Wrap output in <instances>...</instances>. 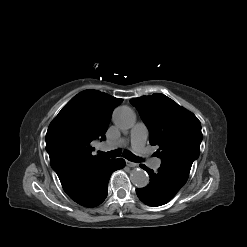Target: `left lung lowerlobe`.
Returning a JSON list of instances; mask_svg holds the SVG:
<instances>
[{"label": "left lung lower lobe", "instance_id": "0a47b994", "mask_svg": "<svg viewBox=\"0 0 247 247\" xmlns=\"http://www.w3.org/2000/svg\"><path fill=\"white\" fill-rule=\"evenodd\" d=\"M150 176V183L145 188L137 189L138 198L149 206H161L170 201L185 184L175 178L170 172L159 168L157 172L140 165Z\"/></svg>", "mask_w": 247, "mask_h": 247}]
</instances>
